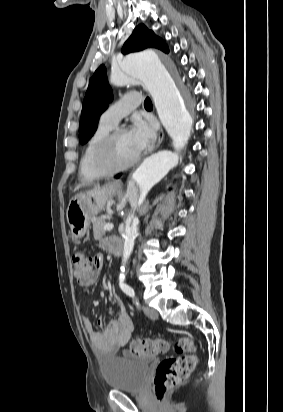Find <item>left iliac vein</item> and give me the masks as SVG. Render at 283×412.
Returning <instances> with one entry per match:
<instances>
[{
  "label": "left iliac vein",
  "instance_id": "left-iliac-vein-1",
  "mask_svg": "<svg viewBox=\"0 0 283 412\" xmlns=\"http://www.w3.org/2000/svg\"><path fill=\"white\" fill-rule=\"evenodd\" d=\"M142 310L144 314L150 318L151 320H157L158 319V313L155 309L147 307V306H142Z\"/></svg>",
  "mask_w": 283,
  "mask_h": 412
}]
</instances>
